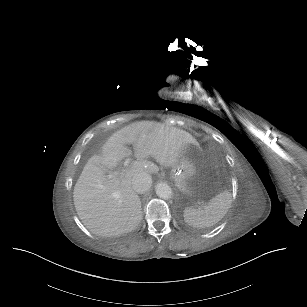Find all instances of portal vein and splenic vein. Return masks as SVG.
Masks as SVG:
<instances>
[{
  "mask_svg": "<svg viewBox=\"0 0 307 307\" xmlns=\"http://www.w3.org/2000/svg\"><path fill=\"white\" fill-rule=\"evenodd\" d=\"M130 163H131V159H129L128 157H125V158L123 159V162L121 163V166H122L123 168H126Z\"/></svg>",
  "mask_w": 307,
  "mask_h": 307,
  "instance_id": "portal-vein-and-splenic-vein-1",
  "label": "portal vein and splenic vein"
}]
</instances>
